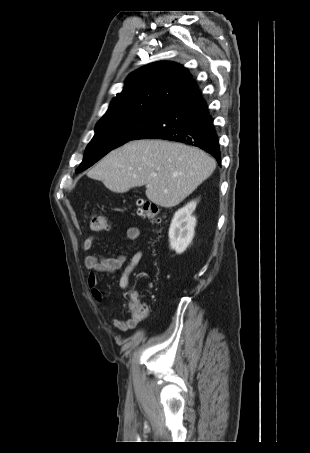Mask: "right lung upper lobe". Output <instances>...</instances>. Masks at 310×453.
<instances>
[{
    "instance_id": "obj_1",
    "label": "right lung upper lobe",
    "mask_w": 310,
    "mask_h": 453,
    "mask_svg": "<svg viewBox=\"0 0 310 453\" xmlns=\"http://www.w3.org/2000/svg\"><path fill=\"white\" fill-rule=\"evenodd\" d=\"M198 89L183 66L161 61L131 73L124 89L111 102L103 117L136 113L160 115L169 106Z\"/></svg>"
}]
</instances>
